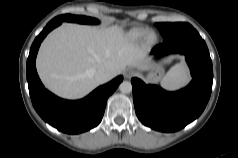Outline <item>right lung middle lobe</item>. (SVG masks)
Instances as JSON below:
<instances>
[{
    "instance_id": "right-lung-middle-lobe-1",
    "label": "right lung middle lobe",
    "mask_w": 238,
    "mask_h": 158,
    "mask_svg": "<svg viewBox=\"0 0 238 158\" xmlns=\"http://www.w3.org/2000/svg\"><path fill=\"white\" fill-rule=\"evenodd\" d=\"M59 19L62 21H68V22H77V23H83V24H97L99 21L95 18L86 17V16H76V15H61L58 16Z\"/></svg>"
}]
</instances>
